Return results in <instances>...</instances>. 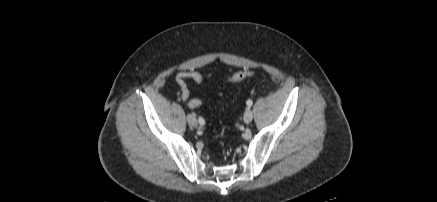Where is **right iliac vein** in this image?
<instances>
[{
  "label": "right iliac vein",
  "mask_w": 437,
  "mask_h": 202,
  "mask_svg": "<svg viewBox=\"0 0 437 202\" xmlns=\"http://www.w3.org/2000/svg\"><path fill=\"white\" fill-rule=\"evenodd\" d=\"M187 122L193 128H196L198 126V122H197V119L195 118L194 114L187 115Z\"/></svg>",
  "instance_id": "1"
}]
</instances>
